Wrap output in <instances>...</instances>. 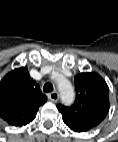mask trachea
Wrapping results in <instances>:
<instances>
[{"mask_svg": "<svg viewBox=\"0 0 118 142\" xmlns=\"http://www.w3.org/2000/svg\"><path fill=\"white\" fill-rule=\"evenodd\" d=\"M43 91L44 92H51V91H53V85L51 83L44 84Z\"/></svg>", "mask_w": 118, "mask_h": 142, "instance_id": "3493384b", "label": "trachea"}]
</instances>
